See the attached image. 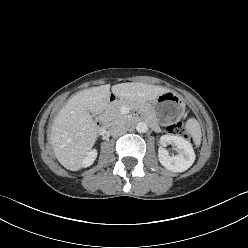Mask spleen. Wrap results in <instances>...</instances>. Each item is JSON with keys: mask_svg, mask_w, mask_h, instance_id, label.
I'll return each mask as SVG.
<instances>
[{"mask_svg": "<svg viewBox=\"0 0 248 248\" xmlns=\"http://www.w3.org/2000/svg\"><path fill=\"white\" fill-rule=\"evenodd\" d=\"M186 129L192 135L195 143L201 142V128L195 118H191L186 122Z\"/></svg>", "mask_w": 248, "mask_h": 248, "instance_id": "3e777b00", "label": "spleen"}]
</instances>
